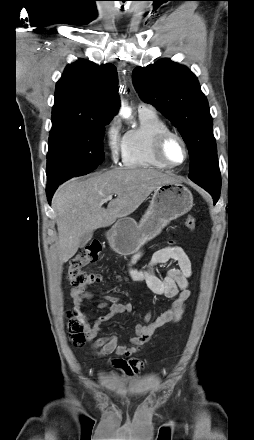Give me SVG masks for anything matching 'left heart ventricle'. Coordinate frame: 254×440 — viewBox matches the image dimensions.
<instances>
[{"label": "left heart ventricle", "mask_w": 254, "mask_h": 440, "mask_svg": "<svg viewBox=\"0 0 254 440\" xmlns=\"http://www.w3.org/2000/svg\"><path fill=\"white\" fill-rule=\"evenodd\" d=\"M165 156L170 162L175 164H179L183 161L184 150L179 140L176 138L169 139L165 146Z\"/></svg>", "instance_id": "obj_1"}]
</instances>
